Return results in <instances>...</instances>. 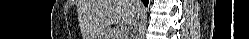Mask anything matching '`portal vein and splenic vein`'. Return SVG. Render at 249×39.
Here are the masks:
<instances>
[{"mask_svg": "<svg viewBox=\"0 0 249 39\" xmlns=\"http://www.w3.org/2000/svg\"><path fill=\"white\" fill-rule=\"evenodd\" d=\"M125 30L122 28L120 31H119V33H123Z\"/></svg>", "mask_w": 249, "mask_h": 39, "instance_id": "portal-vein-and-splenic-vein-1", "label": "portal vein and splenic vein"}]
</instances>
